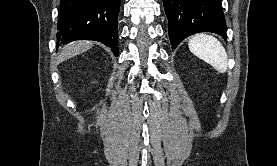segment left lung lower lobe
Returning a JSON list of instances; mask_svg holds the SVG:
<instances>
[{
  "label": "left lung lower lobe",
  "mask_w": 277,
  "mask_h": 166,
  "mask_svg": "<svg viewBox=\"0 0 277 166\" xmlns=\"http://www.w3.org/2000/svg\"><path fill=\"white\" fill-rule=\"evenodd\" d=\"M163 4L173 48L184 38L198 32H212L227 38L219 0H163Z\"/></svg>",
  "instance_id": "obj_1"
}]
</instances>
